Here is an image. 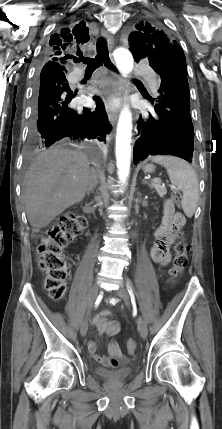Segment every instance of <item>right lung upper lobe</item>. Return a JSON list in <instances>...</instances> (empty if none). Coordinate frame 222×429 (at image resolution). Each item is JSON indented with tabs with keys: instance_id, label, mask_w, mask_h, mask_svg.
<instances>
[{
	"instance_id": "cb5924a9",
	"label": "right lung upper lobe",
	"mask_w": 222,
	"mask_h": 429,
	"mask_svg": "<svg viewBox=\"0 0 222 429\" xmlns=\"http://www.w3.org/2000/svg\"><path fill=\"white\" fill-rule=\"evenodd\" d=\"M82 28L79 25L64 28L60 33L52 35L49 46L44 51V60L59 63L66 70V60L72 57L70 53L75 52L79 45L89 40L88 29Z\"/></svg>"
}]
</instances>
